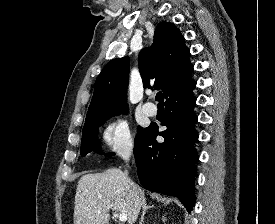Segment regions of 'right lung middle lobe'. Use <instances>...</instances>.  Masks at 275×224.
I'll use <instances>...</instances> for the list:
<instances>
[{"label": "right lung middle lobe", "instance_id": "right-lung-middle-lobe-1", "mask_svg": "<svg viewBox=\"0 0 275 224\" xmlns=\"http://www.w3.org/2000/svg\"><path fill=\"white\" fill-rule=\"evenodd\" d=\"M113 116V115H112ZM110 116H107L103 119H100L96 122H93L83 128V135L81 140V155L85 156L90 151L97 152L100 149V146L97 141L98 128L108 119ZM144 129H140L136 135V138L143 132ZM135 138V139H136ZM113 155V154H111Z\"/></svg>", "mask_w": 275, "mask_h": 224}]
</instances>
